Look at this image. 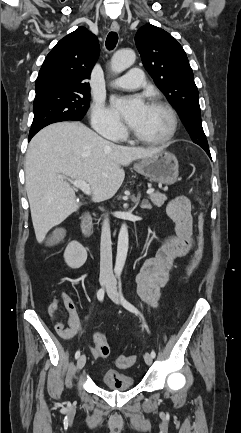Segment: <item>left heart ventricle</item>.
Returning a JSON list of instances; mask_svg holds the SVG:
<instances>
[{"mask_svg": "<svg viewBox=\"0 0 241 433\" xmlns=\"http://www.w3.org/2000/svg\"><path fill=\"white\" fill-rule=\"evenodd\" d=\"M170 127L169 114L160 107L148 105L143 117L133 130L147 138H161L169 132Z\"/></svg>", "mask_w": 241, "mask_h": 433, "instance_id": "obj_1", "label": "left heart ventricle"}]
</instances>
